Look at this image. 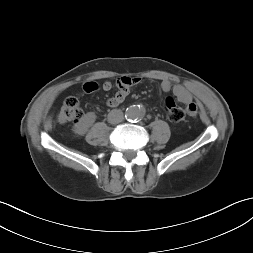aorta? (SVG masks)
<instances>
[{
  "label": "aorta",
  "mask_w": 253,
  "mask_h": 253,
  "mask_svg": "<svg viewBox=\"0 0 253 253\" xmlns=\"http://www.w3.org/2000/svg\"><path fill=\"white\" fill-rule=\"evenodd\" d=\"M144 115V108L137 105H132L126 110V117L129 120H140L144 117Z\"/></svg>",
  "instance_id": "1"
}]
</instances>
